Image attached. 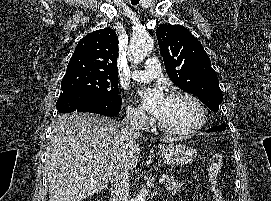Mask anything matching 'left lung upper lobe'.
Returning a JSON list of instances; mask_svg holds the SVG:
<instances>
[{
  "instance_id": "obj_1",
  "label": "left lung upper lobe",
  "mask_w": 271,
  "mask_h": 201,
  "mask_svg": "<svg viewBox=\"0 0 271 201\" xmlns=\"http://www.w3.org/2000/svg\"><path fill=\"white\" fill-rule=\"evenodd\" d=\"M156 36L171 81L197 96L210 110L218 111L223 94L202 44L181 25L161 24ZM222 126L226 127L225 123Z\"/></svg>"
}]
</instances>
